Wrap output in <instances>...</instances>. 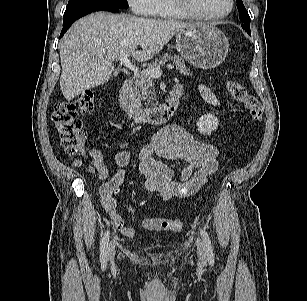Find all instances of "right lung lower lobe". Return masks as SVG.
Returning a JSON list of instances; mask_svg holds the SVG:
<instances>
[{"instance_id": "1", "label": "right lung lower lobe", "mask_w": 307, "mask_h": 301, "mask_svg": "<svg viewBox=\"0 0 307 301\" xmlns=\"http://www.w3.org/2000/svg\"><path fill=\"white\" fill-rule=\"evenodd\" d=\"M119 10L120 9H118V8H100V9L89 10V11H86V12H83V13H80V14H76V15L64 18V20H63V29L61 31V34H60L59 38H61L64 35V33L69 29L71 24L74 21H76L77 19H79L80 17H83V16H85L87 14H90L92 12H95V11L119 12Z\"/></svg>"}]
</instances>
